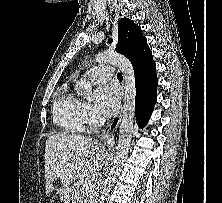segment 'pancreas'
<instances>
[{
  "mask_svg": "<svg viewBox=\"0 0 222 203\" xmlns=\"http://www.w3.org/2000/svg\"><path fill=\"white\" fill-rule=\"evenodd\" d=\"M84 183L85 181L78 183L75 186L74 191H73V198L75 200H81L78 203H90L93 200V197L95 196L94 190L91 192H85L83 188Z\"/></svg>",
  "mask_w": 222,
  "mask_h": 203,
  "instance_id": "cf45deb5",
  "label": "pancreas"
}]
</instances>
